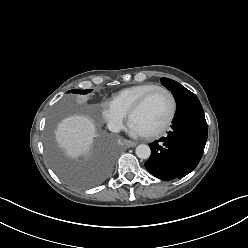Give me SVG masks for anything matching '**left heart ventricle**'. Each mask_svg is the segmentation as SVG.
Segmentation results:
<instances>
[{
    "label": "left heart ventricle",
    "instance_id": "left-heart-ventricle-1",
    "mask_svg": "<svg viewBox=\"0 0 248 248\" xmlns=\"http://www.w3.org/2000/svg\"><path fill=\"white\" fill-rule=\"evenodd\" d=\"M171 102L164 92H156L146 104L137 111L132 119L143 134H149L159 129L168 119Z\"/></svg>",
    "mask_w": 248,
    "mask_h": 248
}]
</instances>
